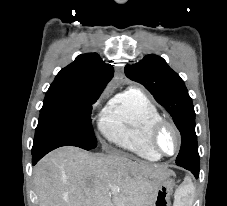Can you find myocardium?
<instances>
[{
    "label": "myocardium",
    "mask_w": 227,
    "mask_h": 206,
    "mask_svg": "<svg viewBox=\"0 0 227 206\" xmlns=\"http://www.w3.org/2000/svg\"><path fill=\"white\" fill-rule=\"evenodd\" d=\"M165 127H169L174 132L176 137V141H177L176 149L172 154L164 153L163 151H161V149L158 146V135L161 132V130ZM148 144L150 148L160 157H172V156H175L180 151L181 144H182L181 133L174 122H172L169 119L161 117L158 120H156L149 128Z\"/></svg>",
    "instance_id": "myocardium-1"
}]
</instances>
